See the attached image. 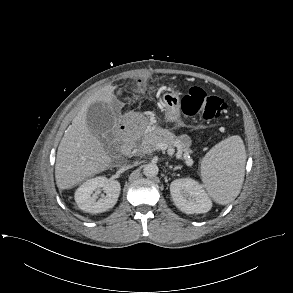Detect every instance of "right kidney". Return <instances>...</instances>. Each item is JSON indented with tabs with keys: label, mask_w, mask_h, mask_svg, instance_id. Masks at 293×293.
<instances>
[{
	"label": "right kidney",
	"mask_w": 293,
	"mask_h": 293,
	"mask_svg": "<svg viewBox=\"0 0 293 293\" xmlns=\"http://www.w3.org/2000/svg\"><path fill=\"white\" fill-rule=\"evenodd\" d=\"M102 189L106 193L98 200L92 196L93 192ZM121 191L117 180H109L104 176L95 177L84 182L75 192L78 207L88 213H101L116 204Z\"/></svg>",
	"instance_id": "ca27d5eb"
}]
</instances>
